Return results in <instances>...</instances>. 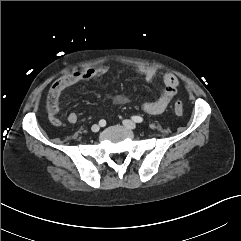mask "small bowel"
Instances as JSON below:
<instances>
[{
    "mask_svg": "<svg viewBox=\"0 0 241 241\" xmlns=\"http://www.w3.org/2000/svg\"><path fill=\"white\" fill-rule=\"evenodd\" d=\"M108 71L109 67L105 65L90 67L74 71L57 80L50 88L47 98V113L51 124L60 126L62 123L58 118V102L60 95L65 89L80 82L95 80L108 73ZM137 73L148 82L154 80L157 75L156 69L152 67H140L137 69ZM161 80L164 84V88L160 96L155 100L145 102L142 106L143 110L149 114L157 115L162 113L168 107L177 92L179 80L174 74L164 73L161 75ZM112 101L114 104L122 105L129 103L130 99L125 96H117V99L113 98ZM67 121L72 124L76 123L78 121V115L75 112H70L67 115Z\"/></svg>",
    "mask_w": 241,
    "mask_h": 241,
    "instance_id": "1",
    "label": "small bowel"
}]
</instances>
